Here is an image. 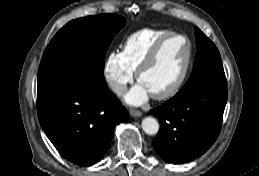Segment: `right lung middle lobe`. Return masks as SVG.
Masks as SVG:
<instances>
[{
  "label": "right lung middle lobe",
  "instance_id": "dd1d6c3e",
  "mask_svg": "<svg viewBox=\"0 0 259 176\" xmlns=\"http://www.w3.org/2000/svg\"><path fill=\"white\" fill-rule=\"evenodd\" d=\"M126 20L103 14L75 19L62 27L46 47L38 73L76 65L103 74L106 51Z\"/></svg>",
  "mask_w": 259,
  "mask_h": 176
}]
</instances>
